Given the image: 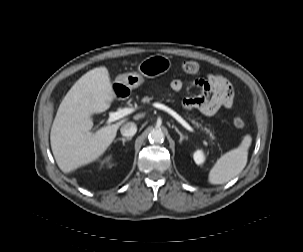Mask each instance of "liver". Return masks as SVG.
I'll list each match as a JSON object with an SVG mask.
<instances>
[{"label":"liver","instance_id":"6515ba94","mask_svg":"<svg viewBox=\"0 0 303 252\" xmlns=\"http://www.w3.org/2000/svg\"><path fill=\"white\" fill-rule=\"evenodd\" d=\"M115 95L106 67L85 73L62 100L50 132L51 149L64 173L97 160L116 137L126 121L102 127L95 133L92 115L109 109Z\"/></svg>","mask_w":303,"mask_h":252}]
</instances>
